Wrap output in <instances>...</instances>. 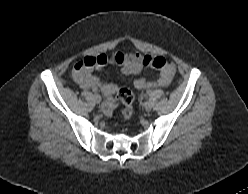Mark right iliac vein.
<instances>
[{
  "label": "right iliac vein",
  "instance_id": "63e3f726",
  "mask_svg": "<svg viewBox=\"0 0 248 194\" xmlns=\"http://www.w3.org/2000/svg\"><path fill=\"white\" fill-rule=\"evenodd\" d=\"M94 100H95L96 103H100L101 102V97L99 95H95Z\"/></svg>",
  "mask_w": 248,
  "mask_h": 194
}]
</instances>
